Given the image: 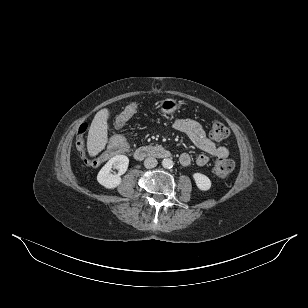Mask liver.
<instances>
[{
    "mask_svg": "<svg viewBox=\"0 0 308 308\" xmlns=\"http://www.w3.org/2000/svg\"><path fill=\"white\" fill-rule=\"evenodd\" d=\"M108 118L109 110L104 108L96 113L91 123L87 138V150L92 157L102 151L108 141Z\"/></svg>",
    "mask_w": 308,
    "mask_h": 308,
    "instance_id": "6515ba94",
    "label": "liver"
}]
</instances>
